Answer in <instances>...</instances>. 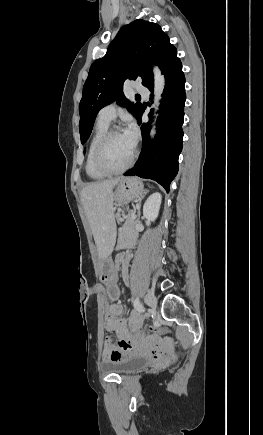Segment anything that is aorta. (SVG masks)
<instances>
[{
    "label": "aorta",
    "instance_id": "aorta-1",
    "mask_svg": "<svg viewBox=\"0 0 263 435\" xmlns=\"http://www.w3.org/2000/svg\"><path fill=\"white\" fill-rule=\"evenodd\" d=\"M153 73H154V95H155V97H154V103H155V105H154V109H155L154 110L155 111V114H154V116H155L154 123H155L156 118L158 116L156 114V111L158 110V106L160 104L159 101L161 99V94H162L163 89H164L165 78L161 74V71H160V69L157 66L153 67ZM154 123H153V127H152V130H151V133H150L151 138H153L154 135H155V125H154Z\"/></svg>",
    "mask_w": 263,
    "mask_h": 435
}]
</instances>
